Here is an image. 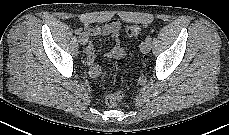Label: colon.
<instances>
[{
    "instance_id": "obj_1",
    "label": "colon",
    "mask_w": 229,
    "mask_h": 135,
    "mask_svg": "<svg viewBox=\"0 0 229 135\" xmlns=\"http://www.w3.org/2000/svg\"><path fill=\"white\" fill-rule=\"evenodd\" d=\"M139 27L137 26H130L126 29V34L127 36L129 37H134V36H137L139 34ZM94 59H95V56L93 53L90 54V60H91V66H90V73L93 77L95 78H99L102 74V70H101V67L94 63ZM110 103H116V99L113 98L110 100Z\"/></svg>"
}]
</instances>
